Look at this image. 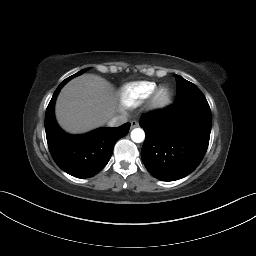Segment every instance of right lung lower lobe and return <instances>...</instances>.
I'll return each instance as SVG.
<instances>
[{
  "label": "right lung lower lobe",
  "instance_id": "obj_1",
  "mask_svg": "<svg viewBox=\"0 0 256 256\" xmlns=\"http://www.w3.org/2000/svg\"><path fill=\"white\" fill-rule=\"evenodd\" d=\"M65 83L55 90L45 114V131L49 151L56 164L77 178H90L109 162L114 144L129 132L130 123L116 128H99L84 135H69L54 117L56 97Z\"/></svg>",
  "mask_w": 256,
  "mask_h": 256
}]
</instances>
